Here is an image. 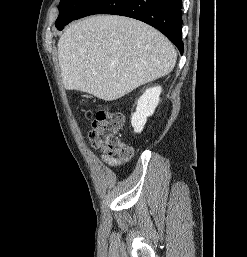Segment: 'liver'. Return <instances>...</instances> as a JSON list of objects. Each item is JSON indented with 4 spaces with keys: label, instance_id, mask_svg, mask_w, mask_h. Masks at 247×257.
Masks as SVG:
<instances>
[{
    "label": "liver",
    "instance_id": "liver-1",
    "mask_svg": "<svg viewBox=\"0 0 247 257\" xmlns=\"http://www.w3.org/2000/svg\"><path fill=\"white\" fill-rule=\"evenodd\" d=\"M58 58L67 90L113 101L169 74L177 53L162 33L141 21L97 15L66 29Z\"/></svg>",
    "mask_w": 247,
    "mask_h": 257
}]
</instances>
